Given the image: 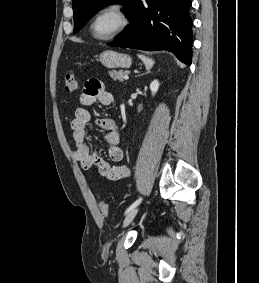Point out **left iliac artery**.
Here are the masks:
<instances>
[{
	"mask_svg": "<svg viewBox=\"0 0 259 283\" xmlns=\"http://www.w3.org/2000/svg\"><path fill=\"white\" fill-rule=\"evenodd\" d=\"M142 201V197L138 198L133 204H131L127 210L125 211V214L129 213L132 209H134L135 207H137Z\"/></svg>",
	"mask_w": 259,
	"mask_h": 283,
	"instance_id": "left-iliac-artery-1",
	"label": "left iliac artery"
}]
</instances>
